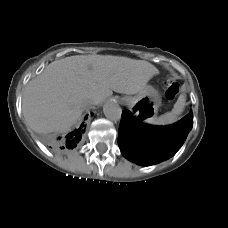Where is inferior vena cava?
<instances>
[{
    "mask_svg": "<svg viewBox=\"0 0 228 228\" xmlns=\"http://www.w3.org/2000/svg\"><path fill=\"white\" fill-rule=\"evenodd\" d=\"M91 105H93V102H92L91 100H85V101L83 102V107H84V108L89 107V106H91Z\"/></svg>",
    "mask_w": 228,
    "mask_h": 228,
    "instance_id": "1",
    "label": "inferior vena cava"
}]
</instances>
